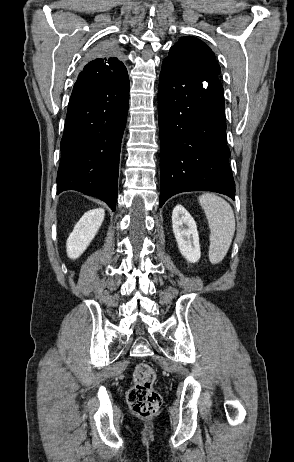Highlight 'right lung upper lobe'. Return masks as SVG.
<instances>
[{"mask_svg":"<svg viewBox=\"0 0 294 462\" xmlns=\"http://www.w3.org/2000/svg\"><path fill=\"white\" fill-rule=\"evenodd\" d=\"M127 74L124 64L117 58L115 50H107L93 56L79 73L74 89H87L110 83ZM73 89V90H74Z\"/></svg>","mask_w":294,"mask_h":462,"instance_id":"1","label":"right lung upper lobe"}]
</instances>
